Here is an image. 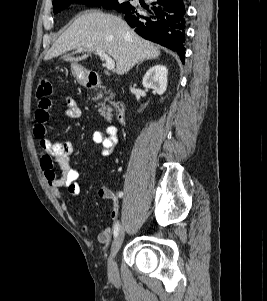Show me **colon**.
I'll use <instances>...</instances> for the list:
<instances>
[{
  "mask_svg": "<svg viewBox=\"0 0 267 301\" xmlns=\"http://www.w3.org/2000/svg\"><path fill=\"white\" fill-rule=\"evenodd\" d=\"M36 94L39 98H47L52 94V85L46 79H41L37 85Z\"/></svg>",
  "mask_w": 267,
  "mask_h": 301,
  "instance_id": "obj_1",
  "label": "colon"
}]
</instances>
